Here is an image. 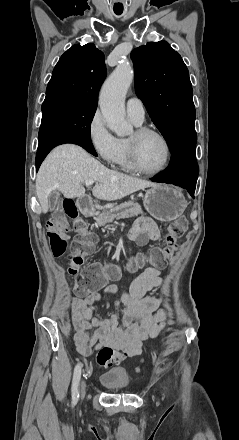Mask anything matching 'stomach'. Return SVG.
Returning <instances> with one entry per match:
<instances>
[{
  "label": "stomach",
  "instance_id": "1",
  "mask_svg": "<svg viewBox=\"0 0 239 440\" xmlns=\"http://www.w3.org/2000/svg\"><path fill=\"white\" fill-rule=\"evenodd\" d=\"M143 204L150 216L160 222L176 220L187 208V202L180 188H170V186H158L147 190Z\"/></svg>",
  "mask_w": 239,
  "mask_h": 440
}]
</instances>
